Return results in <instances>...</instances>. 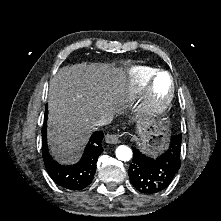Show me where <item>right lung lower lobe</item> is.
I'll use <instances>...</instances> for the list:
<instances>
[{"instance_id":"98d812e1","label":"right lung lower lobe","mask_w":221,"mask_h":221,"mask_svg":"<svg viewBox=\"0 0 221 221\" xmlns=\"http://www.w3.org/2000/svg\"><path fill=\"white\" fill-rule=\"evenodd\" d=\"M46 120L47 112L45 113L44 126L42 129V149L43 160L50 177L56 184L63 188L70 190L84 189L94 178L96 162L103 151L101 145L102 138L104 136L103 132L97 131L93 133L85 147L84 154L78 163L75 165L64 166L54 161L48 152Z\"/></svg>"}]
</instances>
